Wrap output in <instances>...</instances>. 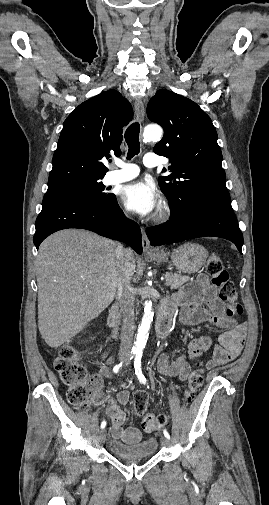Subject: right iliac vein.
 Segmentation results:
<instances>
[{
	"label": "right iliac vein",
	"mask_w": 269,
	"mask_h": 505,
	"mask_svg": "<svg viewBox=\"0 0 269 505\" xmlns=\"http://www.w3.org/2000/svg\"><path fill=\"white\" fill-rule=\"evenodd\" d=\"M120 360H121V361H124V358H121ZM105 439H106V430H105V429H102V430L100 431V433H99V441H100L101 443H103V442L105 441Z\"/></svg>",
	"instance_id": "1"
}]
</instances>
